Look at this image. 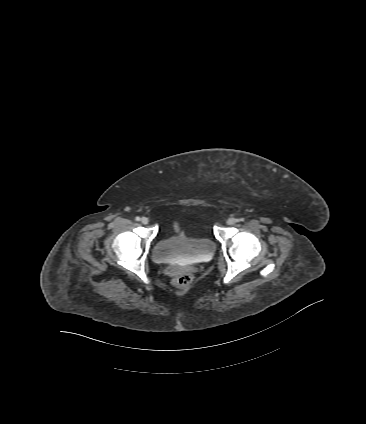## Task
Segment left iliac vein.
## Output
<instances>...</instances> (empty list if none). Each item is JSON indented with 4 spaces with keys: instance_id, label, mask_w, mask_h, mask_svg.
I'll list each match as a JSON object with an SVG mask.
<instances>
[{
    "instance_id": "obj_1",
    "label": "left iliac vein",
    "mask_w": 366,
    "mask_h": 424,
    "mask_svg": "<svg viewBox=\"0 0 366 424\" xmlns=\"http://www.w3.org/2000/svg\"><path fill=\"white\" fill-rule=\"evenodd\" d=\"M237 222V220L235 218H229L227 220V224L228 225H234Z\"/></svg>"
}]
</instances>
